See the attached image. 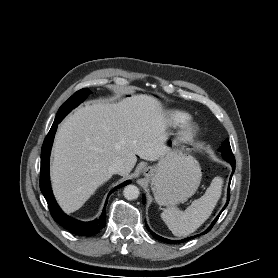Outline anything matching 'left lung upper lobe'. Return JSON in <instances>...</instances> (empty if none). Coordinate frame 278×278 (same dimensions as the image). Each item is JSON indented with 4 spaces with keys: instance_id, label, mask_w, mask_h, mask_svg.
I'll list each match as a JSON object with an SVG mask.
<instances>
[{
    "instance_id": "obj_1",
    "label": "left lung upper lobe",
    "mask_w": 278,
    "mask_h": 278,
    "mask_svg": "<svg viewBox=\"0 0 278 278\" xmlns=\"http://www.w3.org/2000/svg\"><path fill=\"white\" fill-rule=\"evenodd\" d=\"M222 152V156L226 161H233L235 162L234 155L232 153L229 140L226 139L223 145L219 149Z\"/></svg>"
}]
</instances>
